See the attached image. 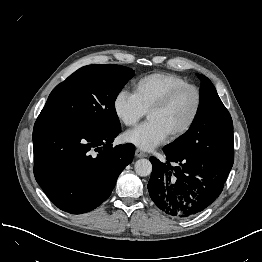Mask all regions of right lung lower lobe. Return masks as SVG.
<instances>
[{"mask_svg": "<svg viewBox=\"0 0 262 262\" xmlns=\"http://www.w3.org/2000/svg\"><path fill=\"white\" fill-rule=\"evenodd\" d=\"M120 131L95 130L68 118L38 116L33 129L34 175L58 208L86 213L110 196L135 151L130 143L112 147Z\"/></svg>", "mask_w": 262, "mask_h": 262, "instance_id": "right-lung-lower-lobe-1", "label": "right lung lower lobe"}]
</instances>
